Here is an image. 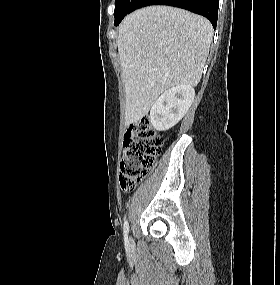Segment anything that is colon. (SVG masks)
Wrapping results in <instances>:
<instances>
[{"mask_svg": "<svg viewBox=\"0 0 280 285\" xmlns=\"http://www.w3.org/2000/svg\"><path fill=\"white\" fill-rule=\"evenodd\" d=\"M163 145L162 136L148 119L133 122L125 132L119 183L122 191L132 192L147 175Z\"/></svg>", "mask_w": 280, "mask_h": 285, "instance_id": "5ec220e1", "label": "colon"}]
</instances>
